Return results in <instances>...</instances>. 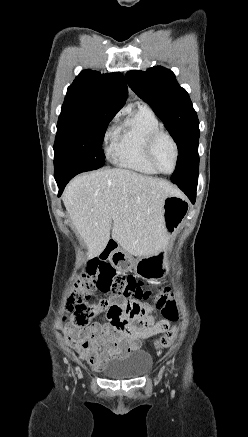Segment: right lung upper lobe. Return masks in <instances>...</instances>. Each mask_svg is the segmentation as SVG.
Returning a JSON list of instances; mask_svg holds the SVG:
<instances>
[{
	"label": "right lung upper lobe",
	"instance_id": "cb5924a9",
	"mask_svg": "<svg viewBox=\"0 0 248 437\" xmlns=\"http://www.w3.org/2000/svg\"><path fill=\"white\" fill-rule=\"evenodd\" d=\"M128 96L121 73L101 74L84 70L68 87L62 111L91 116H115Z\"/></svg>",
	"mask_w": 248,
	"mask_h": 437
}]
</instances>
